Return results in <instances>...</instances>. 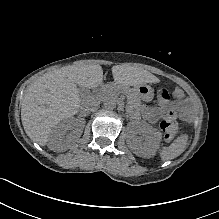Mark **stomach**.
<instances>
[{"instance_id": "0dacf381", "label": "stomach", "mask_w": 219, "mask_h": 219, "mask_svg": "<svg viewBox=\"0 0 219 219\" xmlns=\"http://www.w3.org/2000/svg\"><path fill=\"white\" fill-rule=\"evenodd\" d=\"M134 91L142 99H147L153 92L152 88L146 84L135 87Z\"/></svg>"}]
</instances>
